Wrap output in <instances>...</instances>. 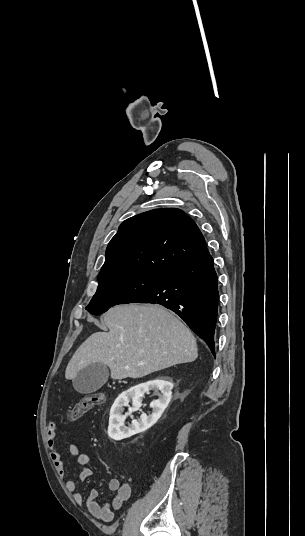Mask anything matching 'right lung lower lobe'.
<instances>
[{"label":"right lung lower lobe","mask_w":305,"mask_h":536,"mask_svg":"<svg viewBox=\"0 0 305 536\" xmlns=\"http://www.w3.org/2000/svg\"><path fill=\"white\" fill-rule=\"evenodd\" d=\"M217 274L212 256L170 272L155 288L135 303H157L178 314L215 355L217 320Z\"/></svg>","instance_id":"obj_1"}]
</instances>
